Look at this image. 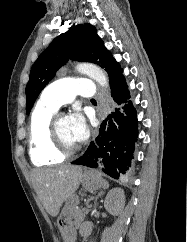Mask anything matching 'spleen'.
<instances>
[{
    "mask_svg": "<svg viewBox=\"0 0 187 242\" xmlns=\"http://www.w3.org/2000/svg\"><path fill=\"white\" fill-rule=\"evenodd\" d=\"M104 187L108 188L109 187V183L107 181H104Z\"/></svg>",
    "mask_w": 187,
    "mask_h": 242,
    "instance_id": "obj_1",
    "label": "spleen"
}]
</instances>
